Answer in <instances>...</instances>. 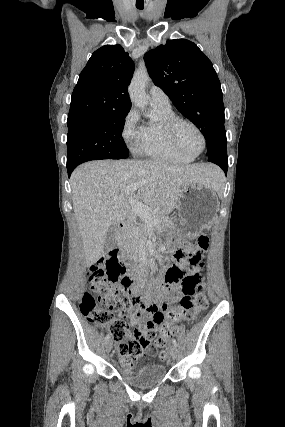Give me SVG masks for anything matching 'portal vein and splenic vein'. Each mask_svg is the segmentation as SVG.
I'll return each instance as SVG.
<instances>
[{
  "label": "portal vein and splenic vein",
  "mask_w": 285,
  "mask_h": 427,
  "mask_svg": "<svg viewBox=\"0 0 285 427\" xmlns=\"http://www.w3.org/2000/svg\"><path fill=\"white\" fill-rule=\"evenodd\" d=\"M139 186L140 184H135L133 186V190L139 188ZM129 204L135 214L142 216L145 219H153L154 214L157 213V210H150V208H148L146 205L139 202L138 200L133 199L132 197L129 198Z\"/></svg>",
  "instance_id": "portal-vein-and-splenic-vein-1"
}]
</instances>
